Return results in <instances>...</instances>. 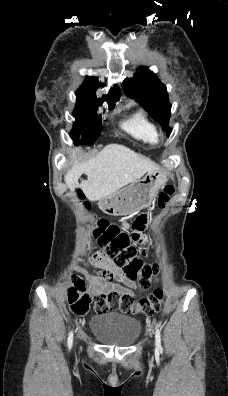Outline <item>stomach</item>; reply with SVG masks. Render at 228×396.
<instances>
[{
  "instance_id": "1",
  "label": "stomach",
  "mask_w": 228,
  "mask_h": 396,
  "mask_svg": "<svg viewBox=\"0 0 228 396\" xmlns=\"http://www.w3.org/2000/svg\"><path fill=\"white\" fill-rule=\"evenodd\" d=\"M166 182V173L160 170L147 172L142 179L101 198L98 202L99 208L112 216L127 215L147 208Z\"/></svg>"
}]
</instances>
